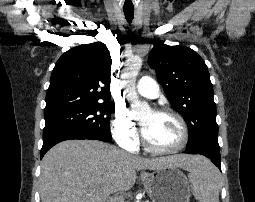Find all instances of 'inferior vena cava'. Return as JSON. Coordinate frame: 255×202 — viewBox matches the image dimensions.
Listing matches in <instances>:
<instances>
[{"instance_id": "1", "label": "inferior vena cava", "mask_w": 255, "mask_h": 202, "mask_svg": "<svg viewBox=\"0 0 255 202\" xmlns=\"http://www.w3.org/2000/svg\"><path fill=\"white\" fill-rule=\"evenodd\" d=\"M116 202H124L123 200H121V199H119V200H117Z\"/></svg>"}]
</instances>
